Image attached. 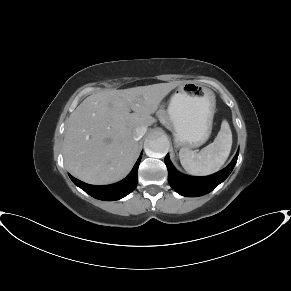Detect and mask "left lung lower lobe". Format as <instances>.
Returning <instances> with one entry per match:
<instances>
[{
  "mask_svg": "<svg viewBox=\"0 0 291 291\" xmlns=\"http://www.w3.org/2000/svg\"><path fill=\"white\" fill-rule=\"evenodd\" d=\"M239 151L232 162L223 170L206 177H192L178 172L172 165L169 155L165 157V164L168 169V182L180 195L187 197L202 196L211 192L221 182H223L233 170Z\"/></svg>",
  "mask_w": 291,
  "mask_h": 291,
  "instance_id": "1",
  "label": "left lung lower lobe"
}]
</instances>
